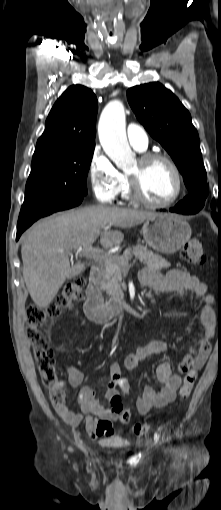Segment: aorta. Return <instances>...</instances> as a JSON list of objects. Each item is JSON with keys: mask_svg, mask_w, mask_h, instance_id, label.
<instances>
[{"mask_svg": "<svg viewBox=\"0 0 221 510\" xmlns=\"http://www.w3.org/2000/svg\"><path fill=\"white\" fill-rule=\"evenodd\" d=\"M98 135L105 153L119 168L128 167L134 159L125 130V109L120 101L104 108L98 123Z\"/></svg>", "mask_w": 221, "mask_h": 510, "instance_id": "aorta-1", "label": "aorta"}]
</instances>
